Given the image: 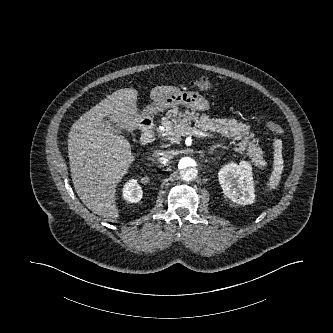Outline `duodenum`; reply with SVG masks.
Here are the masks:
<instances>
[{
    "instance_id": "1",
    "label": "duodenum",
    "mask_w": 333,
    "mask_h": 333,
    "mask_svg": "<svg viewBox=\"0 0 333 333\" xmlns=\"http://www.w3.org/2000/svg\"><path fill=\"white\" fill-rule=\"evenodd\" d=\"M143 139L146 144L154 141V125L150 118H145L143 121Z\"/></svg>"
}]
</instances>
